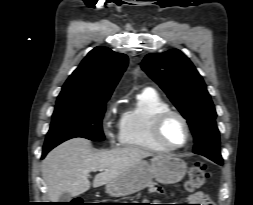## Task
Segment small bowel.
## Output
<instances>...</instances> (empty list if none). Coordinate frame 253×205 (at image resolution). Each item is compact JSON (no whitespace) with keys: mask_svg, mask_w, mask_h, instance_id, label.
<instances>
[{"mask_svg":"<svg viewBox=\"0 0 253 205\" xmlns=\"http://www.w3.org/2000/svg\"><path fill=\"white\" fill-rule=\"evenodd\" d=\"M150 192H160L161 188L157 184H151L149 186ZM188 200L192 205H213L210 199L203 192H195L188 197Z\"/></svg>","mask_w":253,"mask_h":205,"instance_id":"obj_1","label":"small bowel"}]
</instances>
